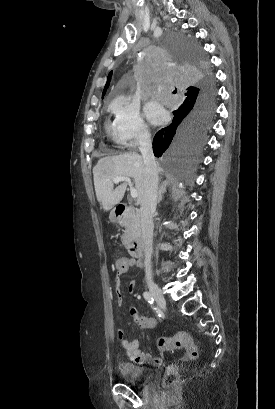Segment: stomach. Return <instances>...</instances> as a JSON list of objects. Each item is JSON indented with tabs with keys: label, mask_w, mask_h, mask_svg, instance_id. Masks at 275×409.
Instances as JSON below:
<instances>
[{
	"label": "stomach",
	"mask_w": 275,
	"mask_h": 409,
	"mask_svg": "<svg viewBox=\"0 0 275 409\" xmlns=\"http://www.w3.org/2000/svg\"><path fill=\"white\" fill-rule=\"evenodd\" d=\"M109 219H110L111 223H118V219H117L114 211H111V213L109 215Z\"/></svg>",
	"instance_id": "1"
}]
</instances>
